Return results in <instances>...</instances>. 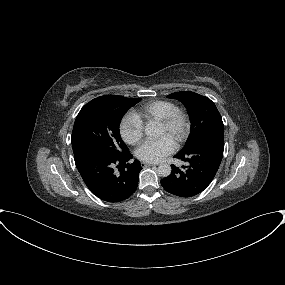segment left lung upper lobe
I'll return each instance as SVG.
<instances>
[{
    "label": "left lung upper lobe",
    "mask_w": 285,
    "mask_h": 285,
    "mask_svg": "<svg viewBox=\"0 0 285 285\" xmlns=\"http://www.w3.org/2000/svg\"><path fill=\"white\" fill-rule=\"evenodd\" d=\"M167 97L181 101L187 108L190 116V135L181 151L194 147L202 139L216 132H224L221 115L209 98L191 91L176 92Z\"/></svg>",
    "instance_id": "left-lung-upper-lobe-1"
}]
</instances>
